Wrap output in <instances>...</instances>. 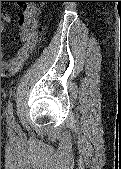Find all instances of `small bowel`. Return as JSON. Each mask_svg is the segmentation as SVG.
<instances>
[{"label":"small bowel","mask_w":121,"mask_h":169,"mask_svg":"<svg viewBox=\"0 0 121 169\" xmlns=\"http://www.w3.org/2000/svg\"><path fill=\"white\" fill-rule=\"evenodd\" d=\"M36 9L33 6H26L19 18L21 45L16 54L8 60L1 62V72L9 75L17 72L27 60L37 43V21L35 20ZM11 21L8 13L2 14L1 27L3 28Z\"/></svg>","instance_id":"obj_1"}]
</instances>
